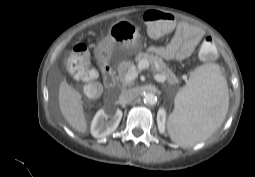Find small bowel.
<instances>
[{
    "instance_id": "obj_1",
    "label": "small bowel",
    "mask_w": 255,
    "mask_h": 177,
    "mask_svg": "<svg viewBox=\"0 0 255 177\" xmlns=\"http://www.w3.org/2000/svg\"><path fill=\"white\" fill-rule=\"evenodd\" d=\"M204 34L200 27L179 23L167 45L152 46L149 51L166 60H183L192 55L202 42Z\"/></svg>"
}]
</instances>
